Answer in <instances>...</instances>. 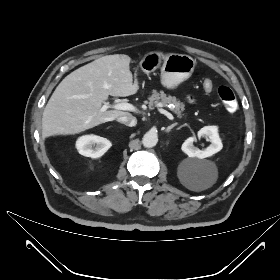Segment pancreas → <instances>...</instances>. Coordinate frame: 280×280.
I'll list each match as a JSON object with an SVG mask.
<instances>
[{
	"instance_id": "cf45deb5",
	"label": "pancreas",
	"mask_w": 280,
	"mask_h": 280,
	"mask_svg": "<svg viewBox=\"0 0 280 280\" xmlns=\"http://www.w3.org/2000/svg\"><path fill=\"white\" fill-rule=\"evenodd\" d=\"M148 99V106L150 109L159 107L160 105L173 104L174 107H171L170 109L177 115V117L181 118L184 115L183 111L185 105L175 97L167 96L163 91L158 92L157 90H153Z\"/></svg>"
}]
</instances>
